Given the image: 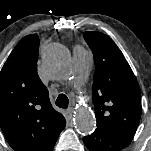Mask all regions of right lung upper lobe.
<instances>
[{"label": "right lung upper lobe", "mask_w": 151, "mask_h": 151, "mask_svg": "<svg viewBox=\"0 0 151 151\" xmlns=\"http://www.w3.org/2000/svg\"><path fill=\"white\" fill-rule=\"evenodd\" d=\"M39 37L22 38L0 72V127L15 151H51L66 121L37 74Z\"/></svg>", "instance_id": "obj_1"}]
</instances>
